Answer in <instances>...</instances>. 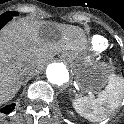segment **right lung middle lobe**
I'll return each instance as SVG.
<instances>
[{
  "label": "right lung middle lobe",
  "mask_w": 124,
  "mask_h": 124,
  "mask_svg": "<svg viewBox=\"0 0 124 124\" xmlns=\"http://www.w3.org/2000/svg\"><path fill=\"white\" fill-rule=\"evenodd\" d=\"M2 16H18V13L15 11H10V12H5L4 14H2Z\"/></svg>",
  "instance_id": "1"
}]
</instances>
